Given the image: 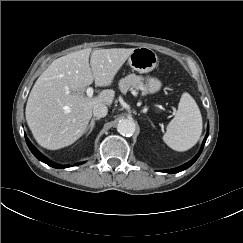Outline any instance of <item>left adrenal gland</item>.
Masks as SVG:
<instances>
[{
  "label": "left adrenal gland",
  "mask_w": 243,
  "mask_h": 243,
  "mask_svg": "<svg viewBox=\"0 0 243 243\" xmlns=\"http://www.w3.org/2000/svg\"><path fill=\"white\" fill-rule=\"evenodd\" d=\"M149 121H150V120H149ZM150 123H151V125H152L153 127H155L154 124L152 123V121H150Z\"/></svg>",
  "instance_id": "a2214340"
}]
</instances>
